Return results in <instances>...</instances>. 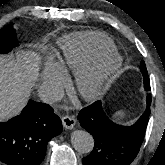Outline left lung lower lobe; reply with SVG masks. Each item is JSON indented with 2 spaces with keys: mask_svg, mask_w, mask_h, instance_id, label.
I'll list each match as a JSON object with an SVG mask.
<instances>
[{
  "mask_svg": "<svg viewBox=\"0 0 165 165\" xmlns=\"http://www.w3.org/2000/svg\"><path fill=\"white\" fill-rule=\"evenodd\" d=\"M149 116L148 102L145 112L132 126L113 123L105 115L101 101L83 108L78 120L95 140L93 151L83 158V165H129L140 150Z\"/></svg>",
  "mask_w": 165,
  "mask_h": 165,
  "instance_id": "1",
  "label": "left lung lower lobe"
}]
</instances>
